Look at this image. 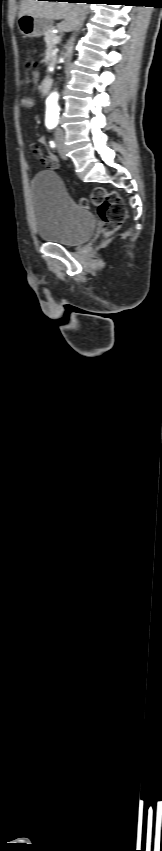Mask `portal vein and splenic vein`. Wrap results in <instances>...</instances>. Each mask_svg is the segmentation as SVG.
<instances>
[{
    "instance_id": "portal-vein-and-splenic-vein-1",
    "label": "portal vein and splenic vein",
    "mask_w": 162,
    "mask_h": 851,
    "mask_svg": "<svg viewBox=\"0 0 162 851\" xmlns=\"http://www.w3.org/2000/svg\"><path fill=\"white\" fill-rule=\"evenodd\" d=\"M59 39H60V37H59V36H57V37L55 38V41H58Z\"/></svg>"
}]
</instances>
